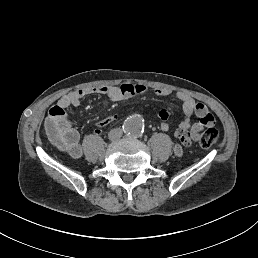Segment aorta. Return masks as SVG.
<instances>
[{
    "instance_id": "1",
    "label": "aorta",
    "mask_w": 258,
    "mask_h": 258,
    "mask_svg": "<svg viewBox=\"0 0 258 258\" xmlns=\"http://www.w3.org/2000/svg\"><path fill=\"white\" fill-rule=\"evenodd\" d=\"M144 131V119L140 115H132L124 122V132L129 136H139Z\"/></svg>"
}]
</instances>
